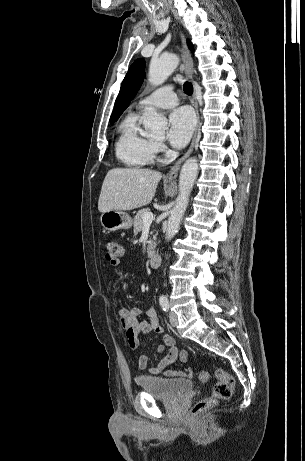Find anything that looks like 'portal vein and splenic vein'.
<instances>
[{
    "label": "portal vein and splenic vein",
    "instance_id": "portal-vein-and-splenic-vein-1",
    "mask_svg": "<svg viewBox=\"0 0 305 461\" xmlns=\"http://www.w3.org/2000/svg\"><path fill=\"white\" fill-rule=\"evenodd\" d=\"M154 216L152 212H147L143 216V224H149L153 221Z\"/></svg>",
    "mask_w": 305,
    "mask_h": 461
}]
</instances>
